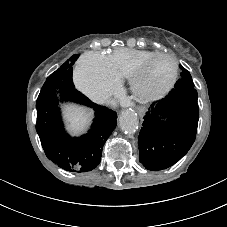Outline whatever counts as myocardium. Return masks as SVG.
Returning a JSON list of instances; mask_svg holds the SVG:
<instances>
[{"label": "myocardium", "mask_w": 227, "mask_h": 227, "mask_svg": "<svg viewBox=\"0 0 227 227\" xmlns=\"http://www.w3.org/2000/svg\"><path fill=\"white\" fill-rule=\"evenodd\" d=\"M158 58H166L170 60L173 66V73L170 80L162 87L143 90L141 88V80L146 73L148 66ZM178 78V63L176 59L167 53H156L142 61L138 67L131 73L129 77V84L131 92L142 101H153L166 95L175 85Z\"/></svg>", "instance_id": "1"}]
</instances>
